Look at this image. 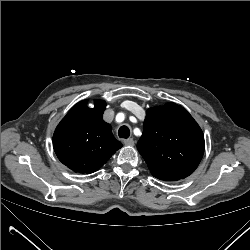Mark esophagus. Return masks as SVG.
Instances as JSON below:
<instances>
[{
    "instance_id": "obj_1",
    "label": "esophagus",
    "mask_w": 250,
    "mask_h": 250,
    "mask_svg": "<svg viewBox=\"0 0 250 250\" xmlns=\"http://www.w3.org/2000/svg\"><path fill=\"white\" fill-rule=\"evenodd\" d=\"M123 142H124V144H125L126 146H133V145H134V140L131 139V138L125 139Z\"/></svg>"
}]
</instances>
